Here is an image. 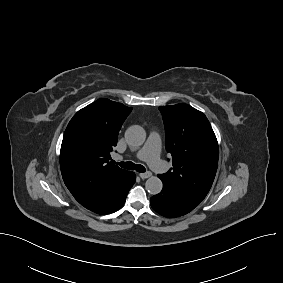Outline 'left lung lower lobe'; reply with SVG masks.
I'll return each instance as SVG.
<instances>
[{
	"label": "left lung lower lobe",
	"mask_w": 283,
	"mask_h": 283,
	"mask_svg": "<svg viewBox=\"0 0 283 283\" xmlns=\"http://www.w3.org/2000/svg\"><path fill=\"white\" fill-rule=\"evenodd\" d=\"M163 182L162 191L151 197L150 204L159 214L175 218L191 212L198 205L189 200L177 187L167 180Z\"/></svg>",
	"instance_id": "obj_1"
}]
</instances>
